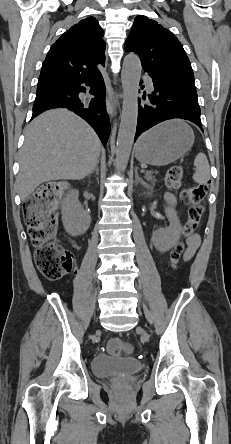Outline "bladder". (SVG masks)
<instances>
[{
	"instance_id": "bladder-1",
	"label": "bladder",
	"mask_w": 231,
	"mask_h": 444,
	"mask_svg": "<svg viewBox=\"0 0 231 444\" xmlns=\"http://www.w3.org/2000/svg\"><path fill=\"white\" fill-rule=\"evenodd\" d=\"M143 369V364L128 358H116L100 352L92 359V371L98 377H108L114 374H134Z\"/></svg>"
}]
</instances>
